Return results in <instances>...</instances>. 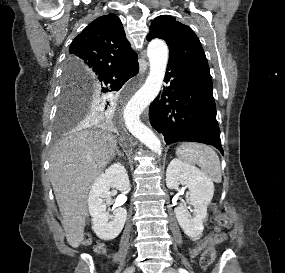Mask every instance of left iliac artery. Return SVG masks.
<instances>
[{
    "label": "left iliac artery",
    "mask_w": 285,
    "mask_h": 273,
    "mask_svg": "<svg viewBox=\"0 0 285 273\" xmlns=\"http://www.w3.org/2000/svg\"><path fill=\"white\" fill-rule=\"evenodd\" d=\"M179 273H188V272L183 268H179Z\"/></svg>",
    "instance_id": "left-iliac-artery-1"
}]
</instances>
